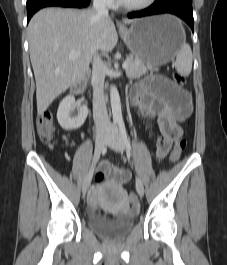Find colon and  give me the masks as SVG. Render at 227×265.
Returning a JSON list of instances; mask_svg holds the SVG:
<instances>
[{
    "label": "colon",
    "mask_w": 227,
    "mask_h": 265,
    "mask_svg": "<svg viewBox=\"0 0 227 265\" xmlns=\"http://www.w3.org/2000/svg\"><path fill=\"white\" fill-rule=\"evenodd\" d=\"M173 79L175 83L179 86H183L186 82L185 77L178 73H175L173 75ZM37 131L39 138L42 142L48 143L53 140L56 133V127L53 121L52 113L50 111H45L39 116L37 120ZM186 144L187 142L184 138H178L176 140L169 157L170 163H175L179 160L182 152L186 147ZM104 178L105 173L103 171H100L96 174L95 181L97 183H100L104 180ZM130 201L133 204L137 203V197L134 194H131Z\"/></svg>",
    "instance_id": "1"
}]
</instances>
